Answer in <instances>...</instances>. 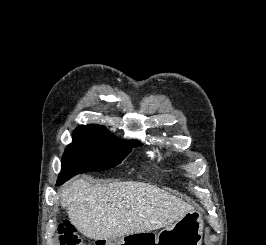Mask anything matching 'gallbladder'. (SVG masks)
Listing matches in <instances>:
<instances>
[{"label":"gallbladder","mask_w":266,"mask_h":245,"mask_svg":"<svg viewBox=\"0 0 266 245\" xmlns=\"http://www.w3.org/2000/svg\"><path fill=\"white\" fill-rule=\"evenodd\" d=\"M121 239L122 237H117V239H114V241H110V239H108V243H114V245H119Z\"/></svg>","instance_id":"gallbladder-1"}]
</instances>
